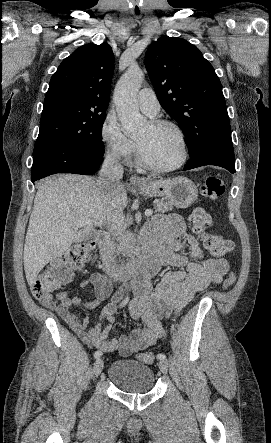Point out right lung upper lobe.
Segmentation results:
<instances>
[{
    "label": "right lung upper lobe",
    "mask_w": 271,
    "mask_h": 443,
    "mask_svg": "<svg viewBox=\"0 0 271 443\" xmlns=\"http://www.w3.org/2000/svg\"><path fill=\"white\" fill-rule=\"evenodd\" d=\"M114 55L107 43L86 44L65 58L53 74L44 103L70 100L94 108H107Z\"/></svg>",
    "instance_id": "right-lung-upper-lobe-1"
}]
</instances>
